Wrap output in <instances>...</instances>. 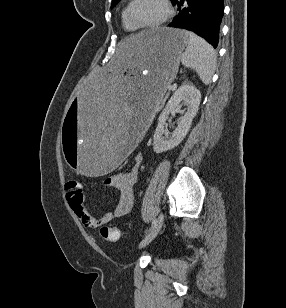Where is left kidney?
I'll return each instance as SVG.
<instances>
[{"label":"left kidney","instance_id":"left-kidney-1","mask_svg":"<svg viewBox=\"0 0 286 308\" xmlns=\"http://www.w3.org/2000/svg\"><path fill=\"white\" fill-rule=\"evenodd\" d=\"M182 101L187 106V111L180 117L177 128L169 136L165 126L166 120L170 113L178 110ZM200 101V91L193 85L183 84L175 91L158 118V125L153 138L154 152L159 154L171 150L183 141L189 132L193 118L198 112Z\"/></svg>","mask_w":286,"mask_h":308}]
</instances>
